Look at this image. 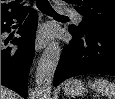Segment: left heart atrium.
<instances>
[{"instance_id":"39dd6f15","label":"left heart atrium","mask_w":115,"mask_h":99,"mask_svg":"<svg viewBox=\"0 0 115 99\" xmlns=\"http://www.w3.org/2000/svg\"><path fill=\"white\" fill-rule=\"evenodd\" d=\"M51 35V32L49 29H43L41 31V33L39 34V37L42 39V40H47Z\"/></svg>"}]
</instances>
